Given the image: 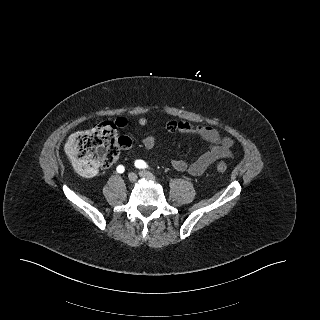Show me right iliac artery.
<instances>
[{
  "instance_id": "right-iliac-artery-1",
  "label": "right iliac artery",
  "mask_w": 320,
  "mask_h": 320,
  "mask_svg": "<svg viewBox=\"0 0 320 320\" xmlns=\"http://www.w3.org/2000/svg\"><path fill=\"white\" fill-rule=\"evenodd\" d=\"M124 171H125L124 166L119 165V166L117 167V172H119V173H123Z\"/></svg>"
}]
</instances>
